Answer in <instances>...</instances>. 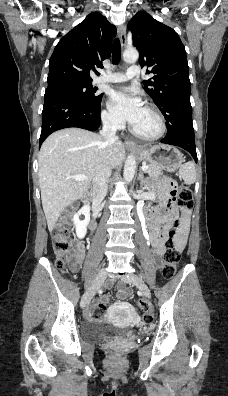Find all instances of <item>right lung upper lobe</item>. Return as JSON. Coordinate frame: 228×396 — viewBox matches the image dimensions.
<instances>
[{
    "label": "right lung upper lobe",
    "mask_w": 228,
    "mask_h": 396,
    "mask_svg": "<svg viewBox=\"0 0 228 396\" xmlns=\"http://www.w3.org/2000/svg\"><path fill=\"white\" fill-rule=\"evenodd\" d=\"M116 27L99 12L90 13L56 45L49 61L48 87L63 82L92 83L90 71L111 55Z\"/></svg>",
    "instance_id": "1"
}]
</instances>
